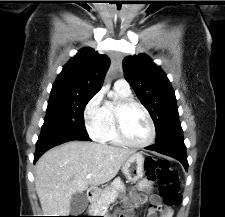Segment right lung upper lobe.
I'll return each instance as SVG.
<instances>
[{
  "label": "right lung upper lobe",
  "instance_id": "1",
  "mask_svg": "<svg viewBox=\"0 0 225 217\" xmlns=\"http://www.w3.org/2000/svg\"><path fill=\"white\" fill-rule=\"evenodd\" d=\"M110 60L92 48H83L58 75L51 94L94 96L102 86Z\"/></svg>",
  "mask_w": 225,
  "mask_h": 217
}]
</instances>
